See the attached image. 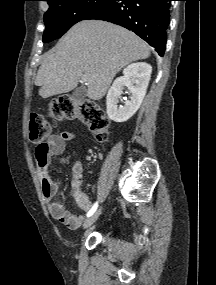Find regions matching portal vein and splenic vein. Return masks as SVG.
<instances>
[{
  "instance_id": "obj_1",
  "label": "portal vein and splenic vein",
  "mask_w": 216,
  "mask_h": 285,
  "mask_svg": "<svg viewBox=\"0 0 216 285\" xmlns=\"http://www.w3.org/2000/svg\"><path fill=\"white\" fill-rule=\"evenodd\" d=\"M81 79H82V81H86V78H85V77H82Z\"/></svg>"
}]
</instances>
